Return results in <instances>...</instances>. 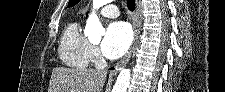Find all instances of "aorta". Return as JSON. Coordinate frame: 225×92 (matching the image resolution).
Listing matches in <instances>:
<instances>
[{
    "mask_svg": "<svg viewBox=\"0 0 225 92\" xmlns=\"http://www.w3.org/2000/svg\"><path fill=\"white\" fill-rule=\"evenodd\" d=\"M110 1L111 0H93V9H98ZM103 34L104 28L102 27L98 16L93 11L87 19L85 35L88 36L89 40H100L101 35ZM130 78L131 72L129 69L121 70L113 87V92H126L129 86Z\"/></svg>",
    "mask_w": 225,
    "mask_h": 92,
    "instance_id": "762f6f07",
    "label": "aorta"
}]
</instances>
